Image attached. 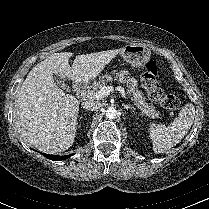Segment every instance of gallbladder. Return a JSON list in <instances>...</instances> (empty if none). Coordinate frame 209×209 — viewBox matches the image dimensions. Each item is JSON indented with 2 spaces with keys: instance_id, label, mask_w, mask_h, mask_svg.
Masks as SVG:
<instances>
[{
  "instance_id": "bac80fb5",
  "label": "gallbladder",
  "mask_w": 209,
  "mask_h": 209,
  "mask_svg": "<svg viewBox=\"0 0 209 209\" xmlns=\"http://www.w3.org/2000/svg\"><path fill=\"white\" fill-rule=\"evenodd\" d=\"M55 80L62 89L68 90V86L60 78L56 77Z\"/></svg>"
}]
</instances>
